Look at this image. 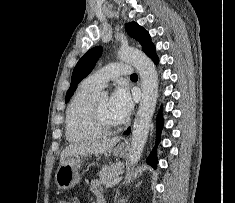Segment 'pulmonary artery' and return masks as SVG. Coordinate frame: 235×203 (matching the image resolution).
I'll return each instance as SVG.
<instances>
[{
  "label": "pulmonary artery",
  "instance_id": "obj_1",
  "mask_svg": "<svg viewBox=\"0 0 235 203\" xmlns=\"http://www.w3.org/2000/svg\"><path fill=\"white\" fill-rule=\"evenodd\" d=\"M132 72L131 65L128 63H112L91 74L85 81L97 89H102L106 84L118 76L129 75Z\"/></svg>",
  "mask_w": 235,
  "mask_h": 203
}]
</instances>
